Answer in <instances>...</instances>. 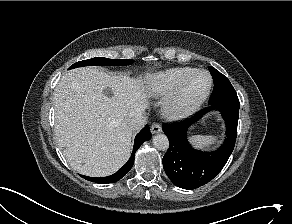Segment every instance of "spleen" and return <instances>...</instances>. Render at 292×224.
<instances>
[{"label":"spleen","instance_id":"obj_1","mask_svg":"<svg viewBox=\"0 0 292 224\" xmlns=\"http://www.w3.org/2000/svg\"><path fill=\"white\" fill-rule=\"evenodd\" d=\"M189 141L197 149H208L215 146L219 140L218 136L215 135H195L190 136Z\"/></svg>","mask_w":292,"mask_h":224}]
</instances>
